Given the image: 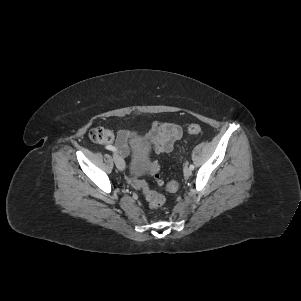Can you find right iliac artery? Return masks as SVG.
Returning <instances> with one entry per match:
<instances>
[{"label": "right iliac artery", "mask_w": 301, "mask_h": 301, "mask_svg": "<svg viewBox=\"0 0 301 301\" xmlns=\"http://www.w3.org/2000/svg\"><path fill=\"white\" fill-rule=\"evenodd\" d=\"M106 149L111 150V151H113V152H116V151H117L116 148L113 147V146H106Z\"/></svg>", "instance_id": "82829eb1"}]
</instances>
